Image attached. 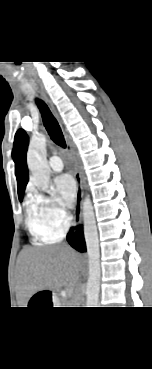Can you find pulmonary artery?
<instances>
[{
    "mask_svg": "<svg viewBox=\"0 0 152 369\" xmlns=\"http://www.w3.org/2000/svg\"><path fill=\"white\" fill-rule=\"evenodd\" d=\"M49 166L53 171H56V172L61 171L64 167L62 159L57 155H53L50 157Z\"/></svg>",
    "mask_w": 152,
    "mask_h": 369,
    "instance_id": "e3ab8cb5",
    "label": "pulmonary artery"
}]
</instances>
